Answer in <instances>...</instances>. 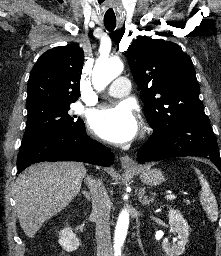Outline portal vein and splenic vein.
<instances>
[{"instance_id": "1", "label": "portal vein and splenic vein", "mask_w": 221, "mask_h": 256, "mask_svg": "<svg viewBox=\"0 0 221 256\" xmlns=\"http://www.w3.org/2000/svg\"><path fill=\"white\" fill-rule=\"evenodd\" d=\"M165 199L174 200V199H176V196L174 194H168V195L165 196Z\"/></svg>"}]
</instances>
